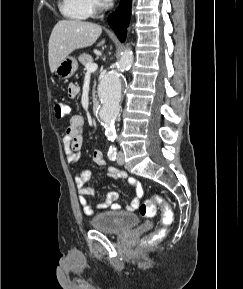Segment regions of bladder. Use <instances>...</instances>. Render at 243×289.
Returning <instances> with one entry per match:
<instances>
[{"label":"bladder","mask_w":243,"mask_h":289,"mask_svg":"<svg viewBox=\"0 0 243 289\" xmlns=\"http://www.w3.org/2000/svg\"><path fill=\"white\" fill-rule=\"evenodd\" d=\"M139 217L125 211H105L96 214L90 220L91 226L101 232L118 234L136 227Z\"/></svg>","instance_id":"31cf9c89"}]
</instances>
